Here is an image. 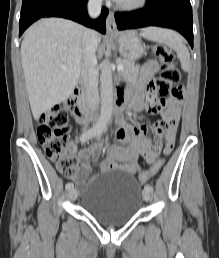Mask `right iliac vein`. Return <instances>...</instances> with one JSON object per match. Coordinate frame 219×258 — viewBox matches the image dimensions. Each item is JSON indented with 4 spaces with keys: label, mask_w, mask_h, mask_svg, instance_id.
<instances>
[{
    "label": "right iliac vein",
    "mask_w": 219,
    "mask_h": 258,
    "mask_svg": "<svg viewBox=\"0 0 219 258\" xmlns=\"http://www.w3.org/2000/svg\"><path fill=\"white\" fill-rule=\"evenodd\" d=\"M69 198L72 200V201H74V200H76L77 199V196H78V192H77V190L75 189V188H71L70 190H69Z\"/></svg>",
    "instance_id": "obj_1"
}]
</instances>
